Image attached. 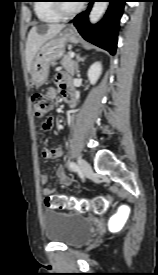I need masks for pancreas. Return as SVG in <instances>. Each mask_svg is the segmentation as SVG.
<instances>
[{
    "instance_id": "1",
    "label": "pancreas",
    "mask_w": 158,
    "mask_h": 275,
    "mask_svg": "<svg viewBox=\"0 0 158 275\" xmlns=\"http://www.w3.org/2000/svg\"><path fill=\"white\" fill-rule=\"evenodd\" d=\"M60 63L67 73L74 75L76 71V62L72 59L70 52L63 57Z\"/></svg>"
}]
</instances>
